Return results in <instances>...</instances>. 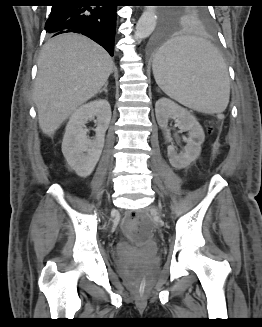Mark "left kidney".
Here are the masks:
<instances>
[{
	"instance_id": "left-kidney-1",
	"label": "left kidney",
	"mask_w": 262,
	"mask_h": 327,
	"mask_svg": "<svg viewBox=\"0 0 262 327\" xmlns=\"http://www.w3.org/2000/svg\"><path fill=\"white\" fill-rule=\"evenodd\" d=\"M155 113L157 122L168 141H170V131L167 128L169 119H176L179 129L188 131L189 137L183 152L178 154L173 145H169L167 148L172 167L175 169L188 167L201 153V144L205 139L202 126L187 109L167 98H161L156 102Z\"/></svg>"
}]
</instances>
